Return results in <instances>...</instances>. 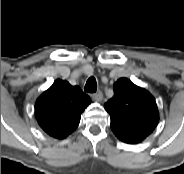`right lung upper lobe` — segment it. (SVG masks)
I'll list each match as a JSON object with an SVG mask.
<instances>
[{
    "instance_id": "1",
    "label": "right lung upper lobe",
    "mask_w": 184,
    "mask_h": 174,
    "mask_svg": "<svg viewBox=\"0 0 184 174\" xmlns=\"http://www.w3.org/2000/svg\"><path fill=\"white\" fill-rule=\"evenodd\" d=\"M90 102V97L78 86L57 79L37 99L35 116L47 134L63 139L77 128L80 116Z\"/></svg>"
}]
</instances>
